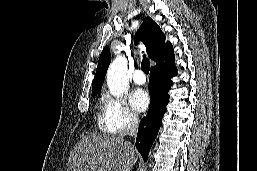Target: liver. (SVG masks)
Here are the masks:
<instances>
[{
  "mask_svg": "<svg viewBox=\"0 0 257 171\" xmlns=\"http://www.w3.org/2000/svg\"><path fill=\"white\" fill-rule=\"evenodd\" d=\"M138 155L123 135L89 134L69 154L65 171H130Z\"/></svg>",
  "mask_w": 257,
  "mask_h": 171,
  "instance_id": "liver-1",
  "label": "liver"
}]
</instances>
